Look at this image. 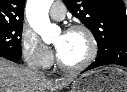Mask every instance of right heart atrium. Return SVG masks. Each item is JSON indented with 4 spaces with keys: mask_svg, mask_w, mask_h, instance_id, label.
<instances>
[{
    "mask_svg": "<svg viewBox=\"0 0 127 92\" xmlns=\"http://www.w3.org/2000/svg\"><path fill=\"white\" fill-rule=\"evenodd\" d=\"M21 50L25 62L32 67L47 68L53 61V55L39 36L30 29L21 35Z\"/></svg>",
    "mask_w": 127,
    "mask_h": 92,
    "instance_id": "1",
    "label": "right heart atrium"
}]
</instances>
